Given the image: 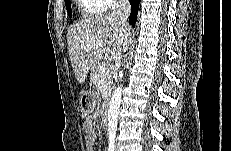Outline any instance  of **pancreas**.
I'll return each mask as SVG.
<instances>
[{"instance_id":"pancreas-1","label":"pancreas","mask_w":231,"mask_h":151,"mask_svg":"<svg viewBox=\"0 0 231 151\" xmlns=\"http://www.w3.org/2000/svg\"><path fill=\"white\" fill-rule=\"evenodd\" d=\"M91 81L97 88H106L108 92L111 91L112 74L110 73L107 77H104L99 72V66L95 68V72L91 77Z\"/></svg>"}]
</instances>
